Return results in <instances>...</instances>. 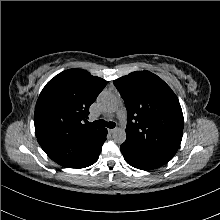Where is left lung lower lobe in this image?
Segmentation results:
<instances>
[{"mask_svg":"<svg viewBox=\"0 0 220 220\" xmlns=\"http://www.w3.org/2000/svg\"><path fill=\"white\" fill-rule=\"evenodd\" d=\"M120 149L125 161L129 165L141 170H153L163 166L171 160L136 146L128 141H125Z\"/></svg>","mask_w":220,"mask_h":220,"instance_id":"obj_1","label":"left lung lower lobe"}]
</instances>
